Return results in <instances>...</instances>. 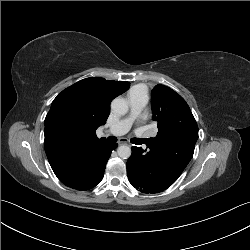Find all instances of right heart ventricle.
<instances>
[{
    "label": "right heart ventricle",
    "mask_w": 250,
    "mask_h": 250,
    "mask_svg": "<svg viewBox=\"0 0 250 250\" xmlns=\"http://www.w3.org/2000/svg\"><path fill=\"white\" fill-rule=\"evenodd\" d=\"M130 94H143L147 96V89L143 85H136L130 90L129 95Z\"/></svg>",
    "instance_id": "right-heart-ventricle-1"
}]
</instances>
